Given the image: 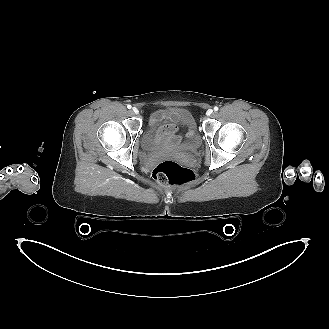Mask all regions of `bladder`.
<instances>
[{"label": "bladder", "instance_id": "31cf9c89", "mask_svg": "<svg viewBox=\"0 0 329 329\" xmlns=\"http://www.w3.org/2000/svg\"><path fill=\"white\" fill-rule=\"evenodd\" d=\"M175 126L186 128L187 134L183 141L171 142L167 138L166 131ZM141 143L143 149L150 155H157L166 150H174L183 155L195 153L200 141L192 113L182 107H165L156 110L151 115Z\"/></svg>", "mask_w": 329, "mask_h": 329}]
</instances>
